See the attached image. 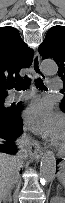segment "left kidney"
Segmentation results:
<instances>
[{
    "label": "left kidney",
    "mask_w": 65,
    "mask_h": 203,
    "mask_svg": "<svg viewBox=\"0 0 65 203\" xmlns=\"http://www.w3.org/2000/svg\"><path fill=\"white\" fill-rule=\"evenodd\" d=\"M53 203V202H52ZM57 203H65V200L63 198H59Z\"/></svg>",
    "instance_id": "left-kidney-1"
}]
</instances>
